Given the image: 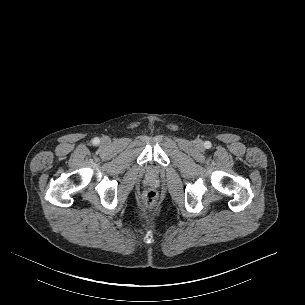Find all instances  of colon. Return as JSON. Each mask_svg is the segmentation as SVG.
I'll return each instance as SVG.
<instances>
[{
    "mask_svg": "<svg viewBox=\"0 0 305 305\" xmlns=\"http://www.w3.org/2000/svg\"><path fill=\"white\" fill-rule=\"evenodd\" d=\"M156 201H157V194L153 190H148L143 195V204L147 208L153 207L155 205Z\"/></svg>",
    "mask_w": 305,
    "mask_h": 305,
    "instance_id": "obj_1",
    "label": "colon"
}]
</instances>
